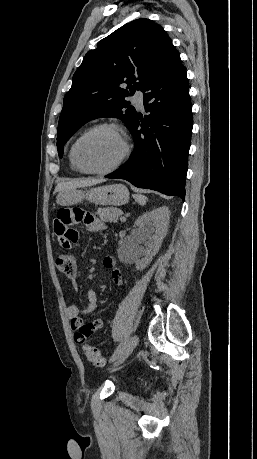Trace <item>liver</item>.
I'll list each match as a JSON object with an SVG mask.
<instances>
[{"instance_id":"6515ba94","label":"liver","mask_w":257,"mask_h":459,"mask_svg":"<svg viewBox=\"0 0 257 459\" xmlns=\"http://www.w3.org/2000/svg\"><path fill=\"white\" fill-rule=\"evenodd\" d=\"M104 182L103 179H75V180H70L67 182H61L58 183L56 188H55V193L56 192H62L65 190L69 189H76V188H81V187H88V186H93L99 183Z\"/></svg>"}]
</instances>
